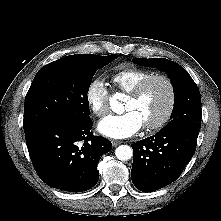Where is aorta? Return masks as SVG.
Masks as SVG:
<instances>
[{"label":"aorta","instance_id":"1","mask_svg":"<svg viewBox=\"0 0 221 221\" xmlns=\"http://www.w3.org/2000/svg\"><path fill=\"white\" fill-rule=\"evenodd\" d=\"M110 106L115 112L120 108V103L118 102V95L115 94L110 98ZM115 155L117 159L121 161H127L133 156V150L128 145H120L116 148Z\"/></svg>","mask_w":221,"mask_h":221}]
</instances>
